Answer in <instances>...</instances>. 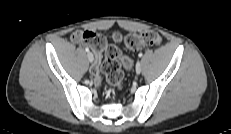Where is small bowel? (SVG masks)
Masks as SVG:
<instances>
[{"mask_svg": "<svg viewBox=\"0 0 231 134\" xmlns=\"http://www.w3.org/2000/svg\"><path fill=\"white\" fill-rule=\"evenodd\" d=\"M79 33L80 32H75V33H73V35L71 36V39L74 41V42H80V40H79Z\"/></svg>", "mask_w": 231, "mask_h": 134, "instance_id": "1", "label": "small bowel"}]
</instances>
